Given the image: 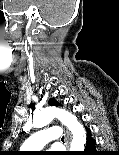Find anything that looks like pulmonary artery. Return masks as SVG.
Listing matches in <instances>:
<instances>
[{"label": "pulmonary artery", "mask_w": 119, "mask_h": 155, "mask_svg": "<svg viewBox=\"0 0 119 155\" xmlns=\"http://www.w3.org/2000/svg\"><path fill=\"white\" fill-rule=\"evenodd\" d=\"M60 128L53 126L40 130L31 135L22 145V148L27 151H37L42 149L49 142L57 140L61 137Z\"/></svg>", "instance_id": "obj_1"}]
</instances>
